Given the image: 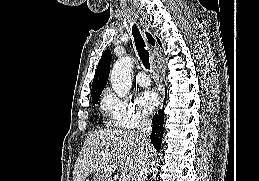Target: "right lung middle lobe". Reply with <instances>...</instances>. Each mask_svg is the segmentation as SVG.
<instances>
[{
  "instance_id": "dd1d6c3e",
  "label": "right lung middle lobe",
  "mask_w": 259,
  "mask_h": 181,
  "mask_svg": "<svg viewBox=\"0 0 259 181\" xmlns=\"http://www.w3.org/2000/svg\"><path fill=\"white\" fill-rule=\"evenodd\" d=\"M99 97L100 95L92 98L93 105L98 103Z\"/></svg>"
}]
</instances>
